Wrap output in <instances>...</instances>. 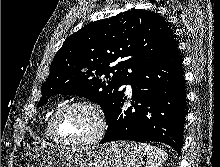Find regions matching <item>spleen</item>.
<instances>
[{
	"label": "spleen",
	"instance_id": "obj_1",
	"mask_svg": "<svg viewBox=\"0 0 220 167\" xmlns=\"http://www.w3.org/2000/svg\"><path fill=\"white\" fill-rule=\"evenodd\" d=\"M139 148L146 152V167H160L167 154L160 148L147 143H139Z\"/></svg>",
	"mask_w": 220,
	"mask_h": 167
}]
</instances>
